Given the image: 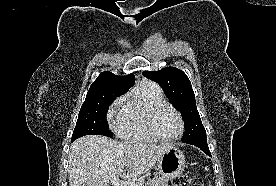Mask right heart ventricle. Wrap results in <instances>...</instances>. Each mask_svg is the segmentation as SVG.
I'll return each instance as SVG.
<instances>
[{
	"instance_id": "obj_1",
	"label": "right heart ventricle",
	"mask_w": 276,
	"mask_h": 186,
	"mask_svg": "<svg viewBox=\"0 0 276 186\" xmlns=\"http://www.w3.org/2000/svg\"><path fill=\"white\" fill-rule=\"evenodd\" d=\"M164 98L160 88L152 82H144L124 105L123 119L117 129L120 137L138 142H154L147 117L150 109Z\"/></svg>"
}]
</instances>
